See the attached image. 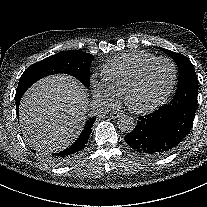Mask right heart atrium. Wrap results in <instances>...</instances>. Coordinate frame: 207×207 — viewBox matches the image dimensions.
<instances>
[{"label": "right heart atrium", "mask_w": 207, "mask_h": 207, "mask_svg": "<svg viewBox=\"0 0 207 207\" xmlns=\"http://www.w3.org/2000/svg\"><path fill=\"white\" fill-rule=\"evenodd\" d=\"M90 84L93 96L97 100L105 104H112L115 101V96L108 88V86L104 82L98 80L96 76L91 77Z\"/></svg>", "instance_id": "1"}]
</instances>
